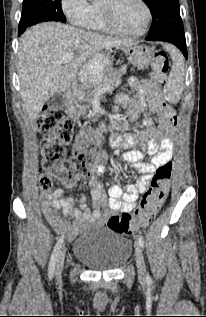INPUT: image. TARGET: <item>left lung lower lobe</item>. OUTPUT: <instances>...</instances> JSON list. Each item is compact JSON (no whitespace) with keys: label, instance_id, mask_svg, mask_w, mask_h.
Returning <instances> with one entry per match:
<instances>
[{"label":"left lung lower lobe","instance_id":"0a47b994","mask_svg":"<svg viewBox=\"0 0 206 317\" xmlns=\"http://www.w3.org/2000/svg\"><path fill=\"white\" fill-rule=\"evenodd\" d=\"M147 40V39H146ZM159 41H165L174 44L177 46L182 53L184 54L185 58H187V48H186V41L185 38H165Z\"/></svg>","mask_w":206,"mask_h":317}]
</instances>
